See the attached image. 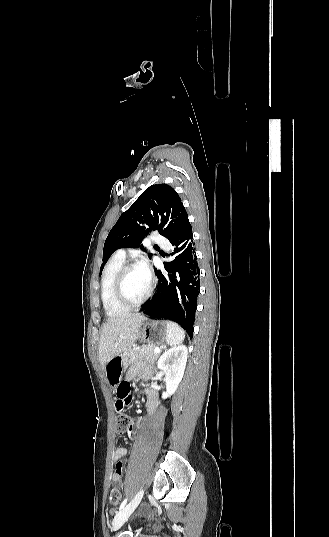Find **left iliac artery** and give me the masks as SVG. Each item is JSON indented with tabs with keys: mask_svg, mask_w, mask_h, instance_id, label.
<instances>
[{
	"mask_svg": "<svg viewBox=\"0 0 329 537\" xmlns=\"http://www.w3.org/2000/svg\"><path fill=\"white\" fill-rule=\"evenodd\" d=\"M127 501H128V497H126V498L122 501V503H121V505H120V507H119V510H121V509L126 505Z\"/></svg>",
	"mask_w": 329,
	"mask_h": 537,
	"instance_id": "left-iliac-artery-1",
	"label": "left iliac artery"
}]
</instances>
